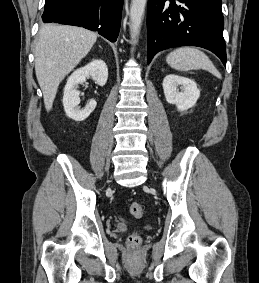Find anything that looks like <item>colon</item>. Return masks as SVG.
<instances>
[{"mask_svg": "<svg viewBox=\"0 0 259 283\" xmlns=\"http://www.w3.org/2000/svg\"><path fill=\"white\" fill-rule=\"evenodd\" d=\"M130 212L134 217L140 218L145 212L144 205L140 202H133L130 206ZM128 243L130 246H138L141 243V237L135 233L131 234L128 237Z\"/></svg>", "mask_w": 259, "mask_h": 283, "instance_id": "obj_1", "label": "colon"}]
</instances>
